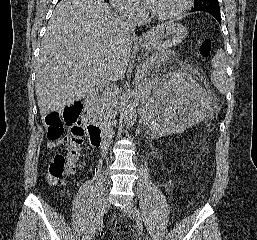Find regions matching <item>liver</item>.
<instances>
[{"label": "liver", "instance_id": "6515ba94", "mask_svg": "<svg viewBox=\"0 0 257 240\" xmlns=\"http://www.w3.org/2000/svg\"><path fill=\"white\" fill-rule=\"evenodd\" d=\"M157 27L143 38L150 40ZM135 40L132 32L122 31L121 19L104 0H62L48 23L37 63L40 114L60 112L96 87L120 79Z\"/></svg>", "mask_w": 257, "mask_h": 240}]
</instances>
